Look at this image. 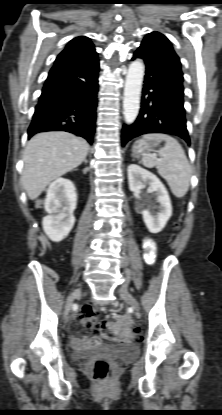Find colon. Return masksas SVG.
I'll list each match as a JSON object with an SVG mask.
<instances>
[{"instance_id": "1", "label": "colon", "mask_w": 222, "mask_h": 415, "mask_svg": "<svg viewBox=\"0 0 222 415\" xmlns=\"http://www.w3.org/2000/svg\"><path fill=\"white\" fill-rule=\"evenodd\" d=\"M79 320L84 328L91 330L94 334L104 335L112 341H128L141 338L139 328L134 327L128 330L123 326L124 321L108 322L102 318L98 311L91 308H84L79 315ZM92 371L97 379H106L112 374V368L105 360L96 361Z\"/></svg>"}]
</instances>
